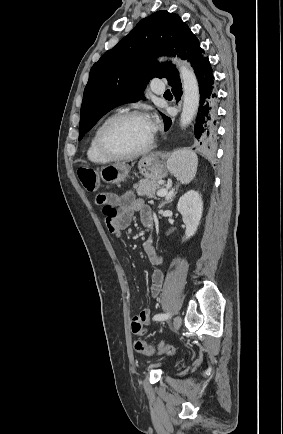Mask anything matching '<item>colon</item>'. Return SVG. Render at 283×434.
Wrapping results in <instances>:
<instances>
[{"instance_id":"1","label":"colon","mask_w":283,"mask_h":434,"mask_svg":"<svg viewBox=\"0 0 283 434\" xmlns=\"http://www.w3.org/2000/svg\"><path fill=\"white\" fill-rule=\"evenodd\" d=\"M78 177L83 185V187L89 191H95L98 187V175L97 172L89 167H82L78 170ZM134 349L136 352L152 356L155 354L156 350L152 346L147 345V343L143 340H137L134 343ZM163 352L167 354H173L174 349L173 347H167L163 350Z\"/></svg>"}]
</instances>
